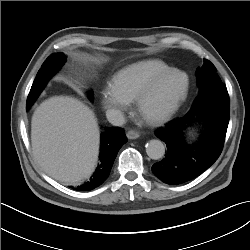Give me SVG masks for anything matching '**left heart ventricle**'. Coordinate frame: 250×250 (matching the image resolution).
I'll return each mask as SVG.
<instances>
[{"label": "left heart ventricle", "instance_id": "left-heart-ventricle-1", "mask_svg": "<svg viewBox=\"0 0 250 250\" xmlns=\"http://www.w3.org/2000/svg\"><path fill=\"white\" fill-rule=\"evenodd\" d=\"M185 84L183 75L175 74L163 80L144 105V116H154L164 111L181 93Z\"/></svg>", "mask_w": 250, "mask_h": 250}]
</instances>
